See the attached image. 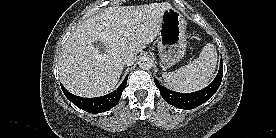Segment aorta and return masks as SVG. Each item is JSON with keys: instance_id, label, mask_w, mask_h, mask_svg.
<instances>
[{"instance_id": "1", "label": "aorta", "mask_w": 276, "mask_h": 138, "mask_svg": "<svg viewBox=\"0 0 276 138\" xmlns=\"http://www.w3.org/2000/svg\"><path fill=\"white\" fill-rule=\"evenodd\" d=\"M138 65L141 69L148 70L153 66V59L150 56H142L138 61Z\"/></svg>"}]
</instances>
